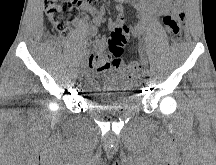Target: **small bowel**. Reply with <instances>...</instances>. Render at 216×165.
Wrapping results in <instances>:
<instances>
[{
    "label": "small bowel",
    "mask_w": 216,
    "mask_h": 165,
    "mask_svg": "<svg viewBox=\"0 0 216 165\" xmlns=\"http://www.w3.org/2000/svg\"><path fill=\"white\" fill-rule=\"evenodd\" d=\"M117 3V10L119 12L115 20L109 22V26L114 28L116 26L125 25V17L122 13L123 4L128 0H115ZM183 0H134L135 8L142 15V18L131 25V32L134 36L141 35L154 14L164 15L172 12L180 7ZM89 12L94 15V23L100 25L105 20L106 11L104 8L96 9L87 7ZM105 50V41H96L94 44V53H102Z\"/></svg>",
    "instance_id": "small-bowel-1"
}]
</instances>
